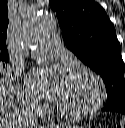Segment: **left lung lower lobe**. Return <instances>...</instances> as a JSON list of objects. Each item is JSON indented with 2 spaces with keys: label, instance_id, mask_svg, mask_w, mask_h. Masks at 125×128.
<instances>
[{
  "label": "left lung lower lobe",
  "instance_id": "0a47b994",
  "mask_svg": "<svg viewBox=\"0 0 125 128\" xmlns=\"http://www.w3.org/2000/svg\"><path fill=\"white\" fill-rule=\"evenodd\" d=\"M103 111H111L125 114V105L122 106H112V107H104Z\"/></svg>",
  "mask_w": 125,
  "mask_h": 128
}]
</instances>
